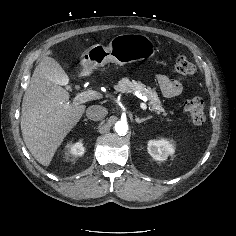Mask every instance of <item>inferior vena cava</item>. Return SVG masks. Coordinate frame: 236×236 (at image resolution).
<instances>
[{
  "instance_id": "1",
  "label": "inferior vena cava",
  "mask_w": 236,
  "mask_h": 236,
  "mask_svg": "<svg viewBox=\"0 0 236 236\" xmlns=\"http://www.w3.org/2000/svg\"><path fill=\"white\" fill-rule=\"evenodd\" d=\"M106 115L107 109L100 105H92L86 110V116L94 121L102 120Z\"/></svg>"
}]
</instances>
